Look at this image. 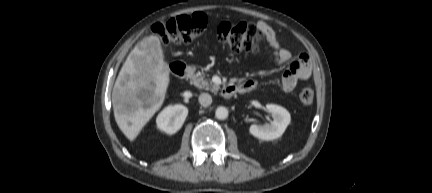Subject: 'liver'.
<instances>
[{"mask_svg":"<svg viewBox=\"0 0 432 193\" xmlns=\"http://www.w3.org/2000/svg\"><path fill=\"white\" fill-rule=\"evenodd\" d=\"M169 73L157 36L145 37L128 55L112 93L115 121L128 139L134 140L160 109Z\"/></svg>","mask_w":432,"mask_h":193,"instance_id":"obj_1","label":"liver"}]
</instances>
